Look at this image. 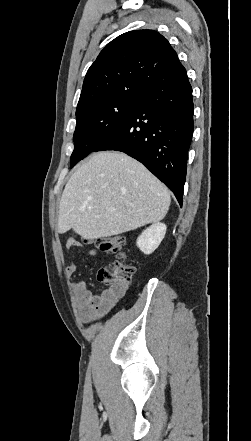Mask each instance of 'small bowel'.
Returning a JSON list of instances; mask_svg holds the SVG:
<instances>
[{
    "instance_id": "obj_1",
    "label": "small bowel",
    "mask_w": 251,
    "mask_h": 441,
    "mask_svg": "<svg viewBox=\"0 0 251 441\" xmlns=\"http://www.w3.org/2000/svg\"><path fill=\"white\" fill-rule=\"evenodd\" d=\"M81 247V244L76 240H69L67 248ZM68 276H72L76 272V264L72 262L65 268ZM73 292L79 316L83 322H90L92 320L103 317L109 313L119 302L124 291H116L109 287L103 290L100 294H95L88 287L85 280H78L73 283Z\"/></svg>"
}]
</instances>
